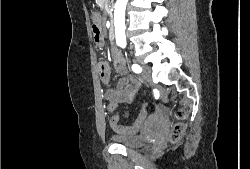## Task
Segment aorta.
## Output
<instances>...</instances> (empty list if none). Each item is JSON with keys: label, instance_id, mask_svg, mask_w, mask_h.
Returning a JSON list of instances; mask_svg holds the SVG:
<instances>
[{"label": "aorta", "instance_id": "obj_1", "mask_svg": "<svg viewBox=\"0 0 250 169\" xmlns=\"http://www.w3.org/2000/svg\"><path fill=\"white\" fill-rule=\"evenodd\" d=\"M128 0H116L115 10H114V26L116 40L118 38L119 42H122V38L126 40L125 36V10Z\"/></svg>", "mask_w": 250, "mask_h": 169}]
</instances>
